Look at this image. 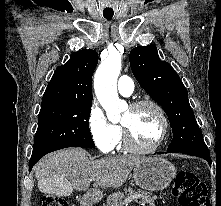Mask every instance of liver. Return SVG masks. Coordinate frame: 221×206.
Wrapping results in <instances>:
<instances>
[{
	"instance_id": "1",
	"label": "liver",
	"mask_w": 221,
	"mask_h": 206,
	"mask_svg": "<svg viewBox=\"0 0 221 206\" xmlns=\"http://www.w3.org/2000/svg\"><path fill=\"white\" fill-rule=\"evenodd\" d=\"M143 160L122 156L90 161L84 149H65L41 159L35 167V176L41 192L49 193L53 185L63 183L69 195L73 189H88L91 181H96L95 187H120Z\"/></svg>"
}]
</instances>
